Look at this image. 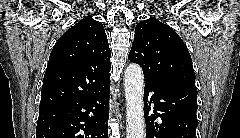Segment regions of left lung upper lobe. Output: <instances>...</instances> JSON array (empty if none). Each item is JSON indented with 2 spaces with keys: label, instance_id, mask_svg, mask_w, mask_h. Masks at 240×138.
Segmentation results:
<instances>
[{
  "label": "left lung upper lobe",
  "instance_id": "left-lung-upper-lobe-1",
  "mask_svg": "<svg viewBox=\"0 0 240 138\" xmlns=\"http://www.w3.org/2000/svg\"><path fill=\"white\" fill-rule=\"evenodd\" d=\"M129 60L142 67L145 82L195 85V73L186 45L177 33L156 18L151 17L136 26Z\"/></svg>",
  "mask_w": 240,
  "mask_h": 138
}]
</instances>
